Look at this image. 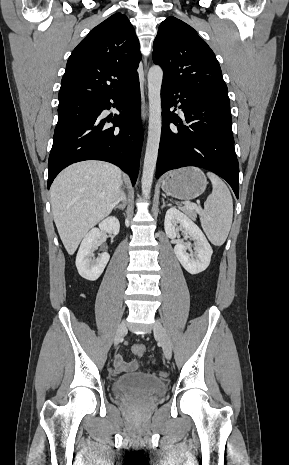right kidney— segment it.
I'll return each instance as SVG.
<instances>
[{
  "instance_id": "1",
  "label": "right kidney",
  "mask_w": 289,
  "mask_h": 465,
  "mask_svg": "<svg viewBox=\"0 0 289 465\" xmlns=\"http://www.w3.org/2000/svg\"><path fill=\"white\" fill-rule=\"evenodd\" d=\"M119 229V220L111 216L100 222L99 228H92L85 235L76 256V267L81 277L89 281H95L100 277L110 256L105 252L101 254L99 259L93 260V252L101 244L102 231L117 235Z\"/></svg>"
}]
</instances>
